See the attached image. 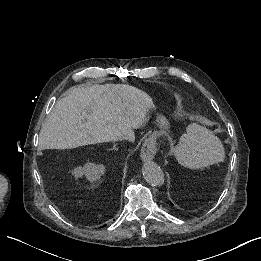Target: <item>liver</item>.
<instances>
[{
	"label": "liver",
	"mask_w": 261,
	"mask_h": 261,
	"mask_svg": "<svg viewBox=\"0 0 261 261\" xmlns=\"http://www.w3.org/2000/svg\"><path fill=\"white\" fill-rule=\"evenodd\" d=\"M151 98L127 85L80 86L57 101L40 132L45 149H74L119 140L134 141L133 130L149 122Z\"/></svg>",
	"instance_id": "1"
}]
</instances>
